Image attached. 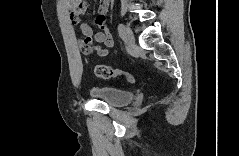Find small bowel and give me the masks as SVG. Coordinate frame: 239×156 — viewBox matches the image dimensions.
<instances>
[{
  "label": "small bowel",
  "mask_w": 239,
  "mask_h": 156,
  "mask_svg": "<svg viewBox=\"0 0 239 156\" xmlns=\"http://www.w3.org/2000/svg\"><path fill=\"white\" fill-rule=\"evenodd\" d=\"M66 4L71 25L78 27L83 36L79 42L82 53L85 55L96 53L99 57L108 56L110 49H113L115 46L114 40L106 26V15L110 6L109 1L102 0L99 4L96 23L100 29L97 32H94L89 24L81 22V16L87 10L86 1L69 0ZM101 44H104L107 48L101 47Z\"/></svg>",
  "instance_id": "c3829d8e"
}]
</instances>
